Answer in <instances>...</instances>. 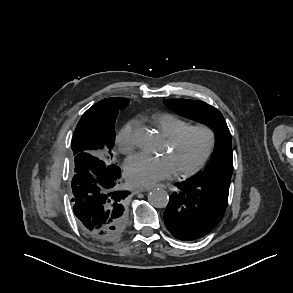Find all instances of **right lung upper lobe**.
<instances>
[{
  "label": "right lung upper lobe",
  "instance_id": "cb5924a9",
  "mask_svg": "<svg viewBox=\"0 0 293 293\" xmlns=\"http://www.w3.org/2000/svg\"><path fill=\"white\" fill-rule=\"evenodd\" d=\"M113 99H117V98H107V99L101 100V101H99L98 103H96L94 106H92L90 109H88V111H91V110H93V109L99 107L100 105H102V104H104V103H106V102H109V101H111V100H113ZM82 153H89V154L95 156L94 152H82ZM79 154H80V153H79ZM77 155H78V154H77ZM75 156H76V155H75Z\"/></svg>",
  "mask_w": 293,
  "mask_h": 293
}]
</instances>
